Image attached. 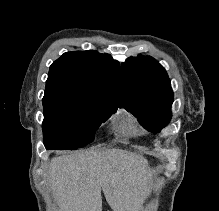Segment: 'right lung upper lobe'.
Returning <instances> with one entry per match:
<instances>
[{
    "mask_svg": "<svg viewBox=\"0 0 219 211\" xmlns=\"http://www.w3.org/2000/svg\"><path fill=\"white\" fill-rule=\"evenodd\" d=\"M44 97L122 106L119 62L95 50L66 52L50 66Z\"/></svg>",
    "mask_w": 219,
    "mask_h": 211,
    "instance_id": "cb5924a9",
    "label": "right lung upper lobe"
}]
</instances>
